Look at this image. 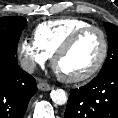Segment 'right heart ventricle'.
I'll return each mask as SVG.
<instances>
[{"instance_id":"e07e8e85","label":"right heart ventricle","mask_w":118,"mask_h":118,"mask_svg":"<svg viewBox=\"0 0 118 118\" xmlns=\"http://www.w3.org/2000/svg\"><path fill=\"white\" fill-rule=\"evenodd\" d=\"M91 24L81 18L64 17L39 24L34 30V41L48 57L73 33Z\"/></svg>"}]
</instances>
